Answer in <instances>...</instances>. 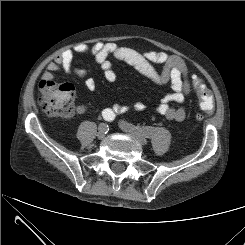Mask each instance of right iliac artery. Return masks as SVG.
I'll return each instance as SVG.
<instances>
[{
	"label": "right iliac artery",
	"mask_w": 245,
	"mask_h": 245,
	"mask_svg": "<svg viewBox=\"0 0 245 245\" xmlns=\"http://www.w3.org/2000/svg\"><path fill=\"white\" fill-rule=\"evenodd\" d=\"M107 112H102V116L106 121H110L112 120V118H110V116L108 114H106ZM102 126V129L104 130L105 133H107V131L109 130L108 125L101 123L100 124Z\"/></svg>",
	"instance_id": "1"
}]
</instances>
